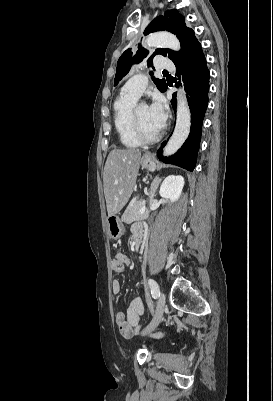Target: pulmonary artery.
Listing matches in <instances>:
<instances>
[{
    "label": "pulmonary artery",
    "instance_id": "e3ab8cb5",
    "mask_svg": "<svg viewBox=\"0 0 273 401\" xmlns=\"http://www.w3.org/2000/svg\"><path fill=\"white\" fill-rule=\"evenodd\" d=\"M156 71L160 72H175L178 69L177 64L174 63L172 57H163L160 60V64H156L154 66ZM146 74L144 69L139 71V74H134L132 80H128L126 86H124L123 91L126 94L133 95L135 97H140L147 87V81L149 77Z\"/></svg>",
    "mask_w": 273,
    "mask_h": 401
}]
</instances>
